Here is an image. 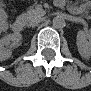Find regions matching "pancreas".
<instances>
[{
    "mask_svg": "<svg viewBox=\"0 0 91 91\" xmlns=\"http://www.w3.org/2000/svg\"><path fill=\"white\" fill-rule=\"evenodd\" d=\"M44 12L40 9H29L26 13H23L21 15L22 18L26 20L27 25H29L35 18L39 17L40 15H43ZM88 18V17H87Z\"/></svg>",
    "mask_w": 91,
    "mask_h": 91,
    "instance_id": "obj_1",
    "label": "pancreas"
}]
</instances>
